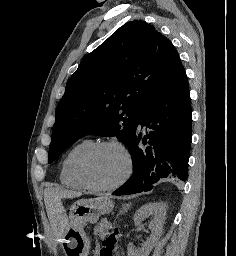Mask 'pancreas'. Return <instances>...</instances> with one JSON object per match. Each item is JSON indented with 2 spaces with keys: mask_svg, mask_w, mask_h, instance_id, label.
I'll return each instance as SVG.
<instances>
[{
  "mask_svg": "<svg viewBox=\"0 0 236 256\" xmlns=\"http://www.w3.org/2000/svg\"><path fill=\"white\" fill-rule=\"evenodd\" d=\"M108 230H111L110 226H106V224H97L94 228L95 236L98 238H105L108 234Z\"/></svg>",
  "mask_w": 236,
  "mask_h": 256,
  "instance_id": "1",
  "label": "pancreas"
}]
</instances>
